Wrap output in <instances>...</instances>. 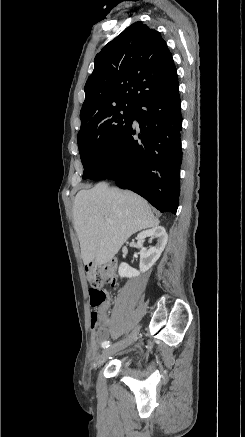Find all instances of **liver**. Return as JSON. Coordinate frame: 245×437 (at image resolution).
I'll use <instances>...</instances> for the list:
<instances>
[{
    "label": "liver",
    "instance_id": "obj_1",
    "mask_svg": "<svg viewBox=\"0 0 245 437\" xmlns=\"http://www.w3.org/2000/svg\"><path fill=\"white\" fill-rule=\"evenodd\" d=\"M107 219L111 223H107ZM73 224L84 264L103 265L118 253L132 234L158 226L159 220L146 200L102 182L77 193Z\"/></svg>",
    "mask_w": 245,
    "mask_h": 437
}]
</instances>
